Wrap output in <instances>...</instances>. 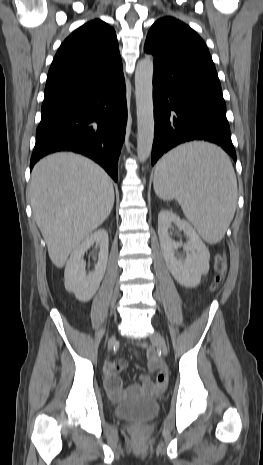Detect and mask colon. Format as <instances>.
<instances>
[{
	"label": "colon",
	"mask_w": 263,
	"mask_h": 465,
	"mask_svg": "<svg viewBox=\"0 0 263 465\" xmlns=\"http://www.w3.org/2000/svg\"><path fill=\"white\" fill-rule=\"evenodd\" d=\"M226 270V263L225 259L221 254H218L215 259V271L217 273L216 275V282H219L224 275Z\"/></svg>",
	"instance_id": "colon-1"
}]
</instances>
